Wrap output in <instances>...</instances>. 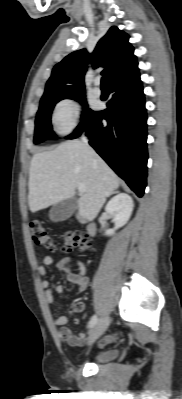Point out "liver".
<instances>
[{
	"label": "liver",
	"mask_w": 182,
	"mask_h": 399,
	"mask_svg": "<svg viewBox=\"0 0 182 399\" xmlns=\"http://www.w3.org/2000/svg\"><path fill=\"white\" fill-rule=\"evenodd\" d=\"M79 184L86 191L78 199L79 214L92 221L120 180L105 161L80 140L66 141L54 150L34 154L29 170L28 204L35 213L71 198Z\"/></svg>",
	"instance_id": "liver-1"
}]
</instances>
